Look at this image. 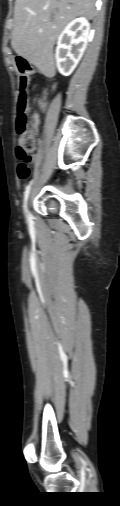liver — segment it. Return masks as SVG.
<instances>
[{"instance_id":"6515ba94","label":"liver","mask_w":120,"mask_h":506,"mask_svg":"<svg viewBox=\"0 0 120 506\" xmlns=\"http://www.w3.org/2000/svg\"><path fill=\"white\" fill-rule=\"evenodd\" d=\"M95 0H16L11 45L45 75L55 74L53 47L73 19H93Z\"/></svg>"}]
</instances>
